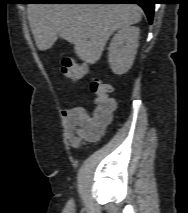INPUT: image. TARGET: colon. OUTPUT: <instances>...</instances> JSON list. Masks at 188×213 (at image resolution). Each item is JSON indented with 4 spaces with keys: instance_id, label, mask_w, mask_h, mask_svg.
Returning <instances> with one entry per match:
<instances>
[{
    "instance_id": "obj_1",
    "label": "colon",
    "mask_w": 188,
    "mask_h": 213,
    "mask_svg": "<svg viewBox=\"0 0 188 213\" xmlns=\"http://www.w3.org/2000/svg\"><path fill=\"white\" fill-rule=\"evenodd\" d=\"M61 71L68 78L77 81L88 72V69L84 62L65 57L62 59ZM90 88L95 95L94 101L97 106L94 123L106 125L110 122L112 114L116 110V101L111 97L112 88L109 84L98 78H94L91 81ZM76 133L77 131L72 129L69 135Z\"/></svg>"
}]
</instances>
